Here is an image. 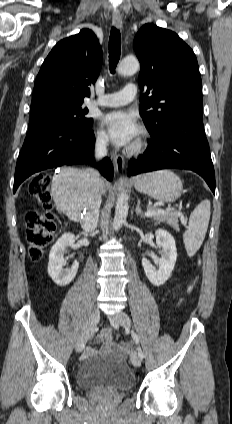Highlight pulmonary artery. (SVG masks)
<instances>
[{"instance_id":"obj_1","label":"pulmonary artery","mask_w":232,"mask_h":424,"mask_svg":"<svg viewBox=\"0 0 232 424\" xmlns=\"http://www.w3.org/2000/svg\"><path fill=\"white\" fill-rule=\"evenodd\" d=\"M135 84L126 85L123 90L100 96L94 103L104 107H119L130 103L137 96Z\"/></svg>"}]
</instances>
